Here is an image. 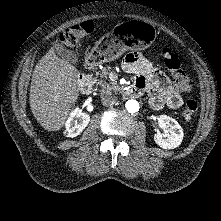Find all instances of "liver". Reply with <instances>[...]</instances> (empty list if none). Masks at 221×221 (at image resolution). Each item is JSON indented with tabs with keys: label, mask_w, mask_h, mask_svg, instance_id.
<instances>
[{
	"label": "liver",
	"mask_w": 221,
	"mask_h": 221,
	"mask_svg": "<svg viewBox=\"0 0 221 221\" xmlns=\"http://www.w3.org/2000/svg\"><path fill=\"white\" fill-rule=\"evenodd\" d=\"M79 71L51 48L37 63L31 78L30 108L47 131L60 130L78 100Z\"/></svg>",
	"instance_id": "6515ba94"
}]
</instances>
